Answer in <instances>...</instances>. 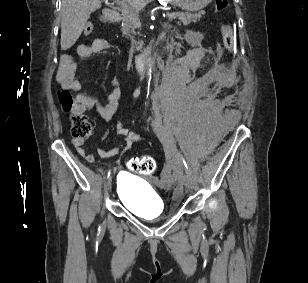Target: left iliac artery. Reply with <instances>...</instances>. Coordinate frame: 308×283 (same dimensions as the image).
I'll return each mask as SVG.
<instances>
[{
  "label": "left iliac artery",
  "mask_w": 308,
  "mask_h": 283,
  "mask_svg": "<svg viewBox=\"0 0 308 283\" xmlns=\"http://www.w3.org/2000/svg\"><path fill=\"white\" fill-rule=\"evenodd\" d=\"M182 160H183V164H184L185 168L187 169V171H189V167H188L186 161L183 158H182Z\"/></svg>",
  "instance_id": "obj_1"
}]
</instances>
